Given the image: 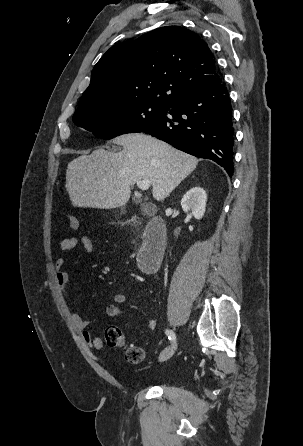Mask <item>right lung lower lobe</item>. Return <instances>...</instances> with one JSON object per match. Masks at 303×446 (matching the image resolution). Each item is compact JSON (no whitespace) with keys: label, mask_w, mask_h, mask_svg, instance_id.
<instances>
[{"label":"right lung lower lobe","mask_w":303,"mask_h":446,"mask_svg":"<svg viewBox=\"0 0 303 446\" xmlns=\"http://www.w3.org/2000/svg\"><path fill=\"white\" fill-rule=\"evenodd\" d=\"M143 132L196 157L211 159L233 175L232 107L222 80L185 94Z\"/></svg>","instance_id":"obj_1"}]
</instances>
